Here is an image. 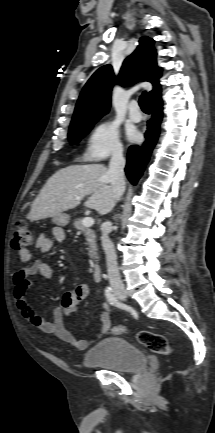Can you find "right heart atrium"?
Wrapping results in <instances>:
<instances>
[{"mask_svg":"<svg viewBox=\"0 0 215 433\" xmlns=\"http://www.w3.org/2000/svg\"><path fill=\"white\" fill-rule=\"evenodd\" d=\"M122 152L118 125L114 121H103L91 131L84 158L90 161H101Z\"/></svg>","mask_w":215,"mask_h":433,"instance_id":"d8ad5b80","label":"right heart atrium"}]
</instances>
